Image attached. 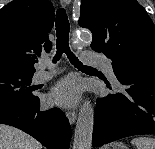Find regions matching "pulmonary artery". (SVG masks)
<instances>
[{
    "label": "pulmonary artery",
    "mask_w": 155,
    "mask_h": 149,
    "mask_svg": "<svg viewBox=\"0 0 155 149\" xmlns=\"http://www.w3.org/2000/svg\"><path fill=\"white\" fill-rule=\"evenodd\" d=\"M82 63L85 65L100 66L113 80H116L111 62L106 58L97 55L94 52L85 51L82 53ZM43 66H50V61L47 58H42ZM56 73L55 68L50 70L40 69L34 75V81L42 83L50 80Z\"/></svg>",
    "instance_id": "e3ab8cb5"
}]
</instances>
